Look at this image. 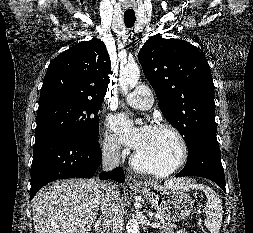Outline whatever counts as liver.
Wrapping results in <instances>:
<instances>
[{
	"label": "liver",
	"mask_w": 253,
	"mask_h": 233,
	"mask_svg": "<svg viewBox=\"0 0 253 233\" xmlns=\"http://www.w3.org/2000/svg\"><path fill=\"white\" fill-rule=\"evenodd\" d=\"M177 180L165 185L174 187ZM102 183L97 179L55 182L32 200L35 233H89L100 205Z\"/></svg>",
	"instance_id": "1"
}]
</instances>
